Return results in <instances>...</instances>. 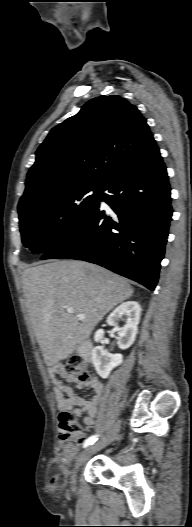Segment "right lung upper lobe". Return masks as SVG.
<instances>
[{
    "label": "right lung upper lobe",
    "instance_id": "1",
    "mask_svg": "<svg viewBox=\"0 0 192 527\" xmlns=\"http://www.w3.org/2000/svg\"><path fill=\"white\" fill-rule=\"evenodd\" d=\"M152 140L136 106L118 95L94 98L40 145L18 206L81 184L104 185Z\"/></svg>",
    "mask_w": 192,
    "mask_h": 527
}]
</instances>
